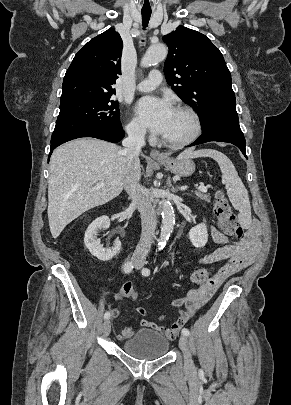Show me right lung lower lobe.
<instances>
[{
    "mask_svg": "<svg viewBox=\"0 0 291 405\" xmlns=\"http://www.w3.org/2000/svg\"><path fill=\"white\" fill-rule=\"evenodd\" d=\"M124 135L125 133L122 128L116 131H83L74 133L52 142L50 146V154L57 146L76 138L94 137L109 142H119L124 137Z\"/></svg>",
    "mask_w": 291,
    "mask_h": 405,
    "instance_id": "obj_1",
    "label": "right lung lower lobe"
}]
</instances>
